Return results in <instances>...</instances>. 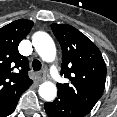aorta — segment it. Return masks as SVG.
Segmentation results:
<instances>
[{
  "label": "aorta",
  "mask_w": 117,
  "mask_h": 117,
  "mask_svg": "<svg viewBox=\"0 0 117 117\" xmlns=\"http://www.w3.org/2000/svg\"><path fill=\"white\" fill-rule=\"evenodd\" d=\"M32 44L39 56L46 62H52L56 56V48L53 39L46 32L38 31L32 36ZM39 95L45 101H53L57 95L56 85L50 81L42 83L39 87Z\"/></svg>",
  "instance_id": "762f6f07"
}]
</instances>
